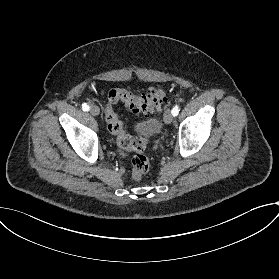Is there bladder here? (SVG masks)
I'll return each mask as SVG.
<instances>
[{
	"mask_svg": "<svg viewBox=\"0 0 279 279\" xmlns=\"http://www.w3.org/2000/svg\"><path fill=\"white\" fill-rule=\"evenodd\" d=\"M163 131L159 118L137 121L134 124V134L148 141L156 139Z\"/></svg>",
	"mask_w": 279,
	"mask_h": 279,
	"instance_id": "1",
	"label": "bladder"
}]
</instances>
